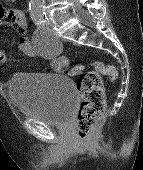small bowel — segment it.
<instances>
[{"instance_id":"obj_1","label":"small bowel","mask_w":143,"mask_h":170,"mask_svg":"<svg viewBox=\"0 0 143 170\" xmlns=\"http://www.w3.org/2000/svg\"><path fill=\"white\" fill-rule=\"evenodd\" d=\"M10 26H15L19 33V50L28 57L37 56L38 52L32 42L26 35L27 28V19L24 11L19 8H6L2 4H0V29L6 28ZM51 46L58 49L60 47L58 42H52ZM61 57L53 56L51 58V67L52 69L59 71L60 62L59 59ZM6 62L5 52L0 48V64H4Z\"/></svg>"}]
</instances>
